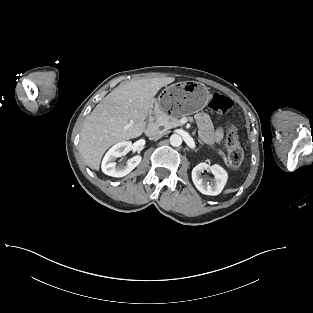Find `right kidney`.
<instances>
[{
    "label": "right kidney",
    "instance_id": "obj_1",
    "mask_svg": "<svg viewBox=\"0 0 313 313\" xmlns=\"http://www.w3.org/2000/svg\"><path fill=\"white\" fill-rule=\"evenodd\" d=\"M131 146L132 143L130 141H122L110 148L102 161L101 167L103 173L112 177H124L137 167L142 160L140 155L130 158L126 165H116L115 163V159L125 155L130 150Z\"/></svg>",
    "mask_w": 313,
    "mask_h": 313
}]
</instances>
